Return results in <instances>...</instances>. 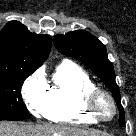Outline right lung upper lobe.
I'll return each instance as SVG.
<instances>
[{"label": "right lung upper lobe", "mask_w": 136, "mask_h": 136, "mask_svg": "<svg viewBox=\"0 0 136 136\" xmlns=\"http://www.w3.org/2000/svg\"><path fill=\"white\" fill-rule=\"evenodd\" d=\"M51 38L31 33L18 21L0 31V73H33L48 57Z\"/></svg>", "instance_id": "1"}]
</instances>
